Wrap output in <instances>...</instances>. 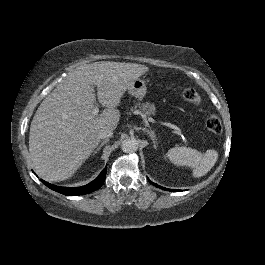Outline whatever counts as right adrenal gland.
Listing matches in <instances>:
<instances>
[{
	"instance_id": "obj_1",
	"label": "right adrenal gland",
	"mask_w": 265,
	"mask_h": 265,
	"mask_svg": "<svg viewBox=\"0 0 265 265\" xmlns=\"http://www.w3.org/2000/svg\"><path fill=\"white\" fill-rule=\"evenodd\" d=\"M108 142H109V138H106L104 141H102L101 144L94 151V154H96L98 151H100V149Z\"/></svg>"
}]
</instances>
